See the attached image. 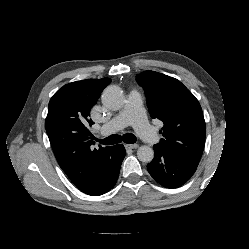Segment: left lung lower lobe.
I'll return each mask as SVG.
<instances>
[{"mask_svg":"<svg viewBox=\"0 0 249 249\" xmlns=\"http://www.w3.org/2000/svg\"><path fill=\"white\" fill-rule=\"evenodd\" d=\"M154 159L147 165L150 175L166 188H177L185 184L197 169L170 150L154 145Z\"/></svg>","mask_w":249,"mask_h":249,"instance_id":"obj_1","label":"left lung lower lobe"}]
</instances>
